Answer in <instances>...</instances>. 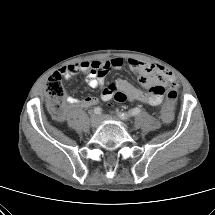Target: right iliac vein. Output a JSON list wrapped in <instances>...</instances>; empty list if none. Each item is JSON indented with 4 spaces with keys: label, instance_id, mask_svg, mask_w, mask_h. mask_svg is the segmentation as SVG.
<instances>
[{
    "label": "right iliac vein",
    "instance_id": "1",
    "mask_svg": "<svg viewBox=\"0 0 215 215\" xmlns=\"http://www.w3.org/2000/svg\"><path fill=\"white\" fill-rule=\"evenodd\" d=\"M90 123L92 127H98V125L100 124V117L95 114L91 115Z\"/></svg>",
    "mask_w": 215,
    "mask_h": 215
}]
</instances>
